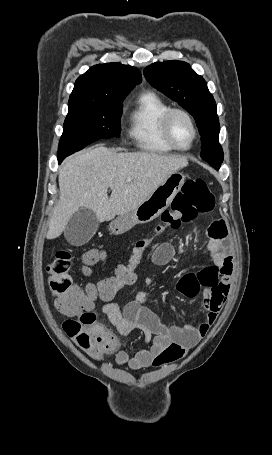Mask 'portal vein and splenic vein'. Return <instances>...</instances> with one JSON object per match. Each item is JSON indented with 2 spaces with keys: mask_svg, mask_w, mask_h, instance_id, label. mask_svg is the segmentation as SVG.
<instances>
[{
  "mask_svg": "<svg viewBox=\"0 0 272 455\" xmlns=\"http://www.w3.org/2000/svg\"><path fill=\"white\" fill-rule=\"evenodd\" d=\"M127 182H131V179H128Z\"/></svg>",
  "mask_w": 272,
  "mask_h": 455,
  "instance_id": "obj_1",
  "label": "portal vein and splenic vein"
}]
</instances>
